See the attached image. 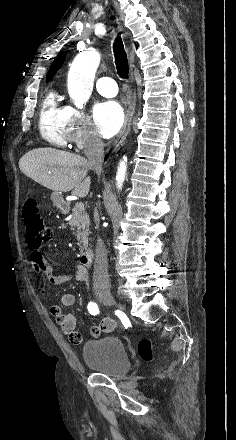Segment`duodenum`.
I'll use <instances>...</instances> for the list:
<instances>
[{
    "label": "duodenum",
    "mask_w": 236,
    "mask_h": 440,
    "mask_svg": "<svg viewBox=\"0 0 236 440\" xmlns=\"http://www.w3.org/2000/svg\"><path fill=\"white\" fill-rule=\"evenodd\" d=\"M94 253L92 249H86L80 258V263L83 268H90L93 263Z\"/></svg>",
    "instance_id": "duodenum-1"
}]
</instances>
